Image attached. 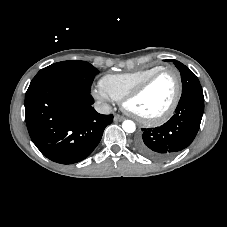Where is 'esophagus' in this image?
Segmentation results:
<instances>
[{
    "mask_svg": "<svg viewBox=\"0 0 227 227\" xmlns=\"http://www.w3.org/2000/svg\"><path fill=\"white\" fill-rule=\"evenodd\" d=\"M124 119H125V117L122 115H119V114L114 116L115 121H123Z\"/></svg>",
    "mask_w": 227,
    "mask_h": 227,
    "instance_id": "esophagus-1",
    "label": "esophagus"
}]
</instances>
